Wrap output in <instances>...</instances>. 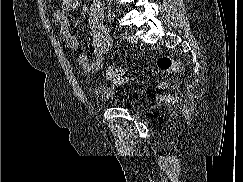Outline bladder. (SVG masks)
Listing matches in <instances>:
<instances>
[{
  "label": "bladder",
  "mask_w": 243,
  "mask_h": 182,
  "mask_svg": "<svg viewBox=\"0 0 243 182\" xmlns=\"http://www.w3.org/2000/svg\"><path fill=\"white\" fill-rule=\"evenodd\" d=\"M130 107L131 108H135L137 105H138V102L136 100H132L130 103H129Z\"/></svg>",
  "instance_id": "bladder-1"
}]
</instances>
